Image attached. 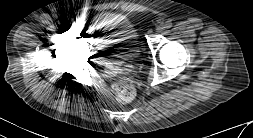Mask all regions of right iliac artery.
<instances>
[{
    "instance_id": "82829eb1",
    "label": "right iliac artery",
    "mask_w": 253,
    "mask_h": 138,
    "mask_svg": "<svg viewBox=\"0 0 253 138\" xmlns=\"http://www.w3.org/2000/svg\"><path fill=\"white\" fill-rule=\"evenodd\" d=\"M73 24H75L73 21H68V22L66 23V26H67L68 28H71V26H72Z\"/></svg>"
}]
</instances>
